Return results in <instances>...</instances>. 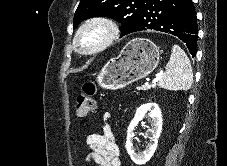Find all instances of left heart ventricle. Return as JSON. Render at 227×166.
Returning a JSON list of instances; mask_svg holds the SVG:
<instances>
[{"label": "left heart ventricle", "mask_w": 227, "mask_h": 166, "mask_svg": "<svg viewBox=\"0 0 227 166\" xmlns=\"http://www.w3.org/2000/svg\"><path fill=\"white\" fill-rule=\"evenodd\" d=\"M101 36H102L101 29L98 28L91 29L81 36L79 43L83 48H88L94 45L96 42H98Z\"/></svg>", "instance_id": "1"}]
</instances>
